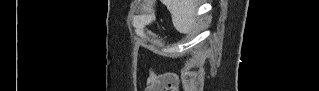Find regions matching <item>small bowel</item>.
<instances>
[{
	"mask_svg": "<svg viewBox=\"0 0 319 91\" xmlns=\"http://www.w3.org/2000/svg\"><path fill=\"white\" fill-rule=\"evenodd\" d=\"M158 76H159L158 74H155V75H154L155 78L158 77ZM153 80H154V79H153Z\"/></svg>",
	"mask_w": 319,
	"mask_h": 91,
	"instance_id": "obj_1",
	"label": "small bowel"
}]
</instances>
